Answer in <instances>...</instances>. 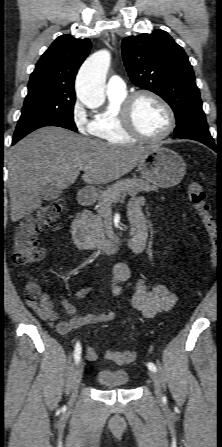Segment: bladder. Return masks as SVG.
Wrapping results in <instances>:
<instances>
[{
    "mask_svg": "<svg viewBox=\"0 0 222 447\" xmlns=\"http://www.w3.org/2000/svg\"><path fill=\"white\" fill-rule=\"evenodd\" d=\"M95 380L102 389H122L129 383V375L124 370H101Z\"/></svg>",
    "mask_w": 222,
    "mask_h": 447,
    "instance_id": "31cf9c89",
    "label": "bladder"
}]
</instances>
